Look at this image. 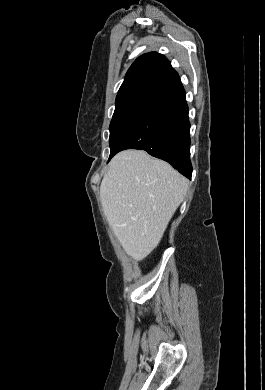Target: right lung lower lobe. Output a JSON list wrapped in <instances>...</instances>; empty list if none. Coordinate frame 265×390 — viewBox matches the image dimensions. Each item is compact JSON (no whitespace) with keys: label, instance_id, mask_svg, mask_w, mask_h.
<instances>
[{"label":"right lung lower lobe","instance_id":"98d812e1","mask_svg":"<svg viewBox=\"0 0 265 390\" xmlns=\"http://www.w3.org/2000/svg\"><path fill=\"white\" fill-rule=\"evenodd\" d=\"M189 131L185 91L179 83L156 98L133 120L119 138L113 156L125 149L145 150L167 161L190 179L192 165Z\"/></svg>","mask_w":265,"mask_h":390}]
</instances>
